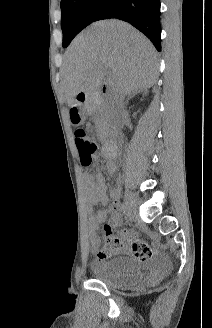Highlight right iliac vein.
Here are the masks:
<instances>
[{
  "mask_svg": "<svg viewBox=\"0 0 212 328\" xmlns=\"http://www.w3.org/2000/svg\"><path fill=\"white\" fill-rule=\"evenodd\" d=\"M125 205L128 211H135V200L129 191L125 192Z\"/></svg>",
  "mask_w": 212,
  "mask_h": 328,
  "instance_id": "1",
  "label": "right iliac vein"
}]
</instances>
